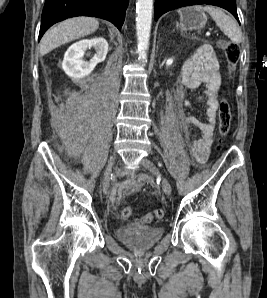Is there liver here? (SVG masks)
I'll use <instances>...</instances> for the list:
<instances>
[{
    "label": "liver",
    "mask_w": 267,
    "mask_h": 298,
    "mask_svg": "<svg viewBox=\"0 0 267 298\" xmlns=\"http://www.w3.org/2000/svg\"><path fill=\"white\" fill-rule=\"evenodd\" d=\"M99 28L97 19L90 17H75L67 19L50 28L40 42V54L46 55L53 49L65 43L94 33Z\"/></svg>",
    "instance_id": "6515ba94"
}]
</instances>
